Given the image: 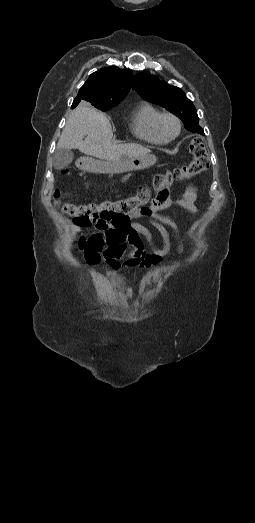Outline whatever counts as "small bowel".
I'll list each match as a JSON object with an SVG mask.
<instances>
[{
    "instance_id": "c3829d8e",
    "label": "small bowel",
    "mask_w": 255,
    "mask_h": 523,
    "mask_svg": "<svg viewBox=\"0 0 255 523\" xmlns=\"http://www.w3.org/2000/svg\"><path fill=\"white\" fill-rule=\"evenodd\" d=\"M197 190L194 186H187L177 198L166 195L161 200H155L148 208H142L129 214L127 223L122 226L97 222L95 231L90 235H81L77 242L78 249L90 265H98L101 260L113 269L120 267L130 268L137 266L140 269L157 265L171 251L172 241L167 228H170L178 240L177 252H184L180 228L170 217L160 211L179 206L197 213ZM134 219L147 220L160 234L162 246L157 248L153 244L151 231ZM147 244L148 249L145 248ZM106 245V248H104Z\"/></svg>"
}]
</instances>
